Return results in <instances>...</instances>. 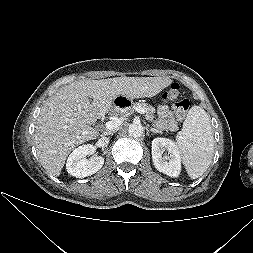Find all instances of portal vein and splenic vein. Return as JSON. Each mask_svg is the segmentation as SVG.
<instances>
[{
  "label": "portal vein and splenic vein",
  "mask_w": 253,
  "mask_h": 253,
  "mask_svg": "<svg viewBox=\"0 0 253 253\" xmlns=\"http://www.w3.org/2000/svg\"><path fill=\"white\" fill-rule=\"evenodd\" d=\"M135 110L138 113H141V114L144 113V110L142 108H136ZM123 121H124L123 118H117L115 120H111V121L106 122L105 127L108 130H113V129L117 128L118 126H120Z\"/></svg>",
  "instance_id": "1"
}]
</instances>
